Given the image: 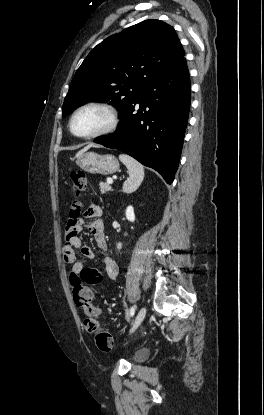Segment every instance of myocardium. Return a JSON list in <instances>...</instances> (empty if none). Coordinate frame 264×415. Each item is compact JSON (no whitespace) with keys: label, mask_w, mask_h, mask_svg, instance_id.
<instances>
[{"label":"myocardium","mask_w":264,"mask_h":415,"mask_svg":"<svg viewBox=\"0 0 264 415\" xmlns=\"http://www.w3.org/2000/svg\"><path fill=\"white\" fill-rule=\"evenodd\" d=\"M87 108H97V109H101V110L105 111L109 115V122L101 130H98V131H96L92 134H89V135H80V134H77L74 131L73 123H74V120H75V117L77 116V114L80 113L82 110L87 109ZM119 120L120 119H119L118 111L115 109L114 106H112L108 103H105V102H89V103L81 105L80 107H78L73 112V114L70 118V121H69V128H70L71 133L74 136L78 137V138H81V139H94V138H98V137L105 136V135L113 133L119 125Z\"/></svg>","instance_id":"myocardium-1"}]
</instances>
